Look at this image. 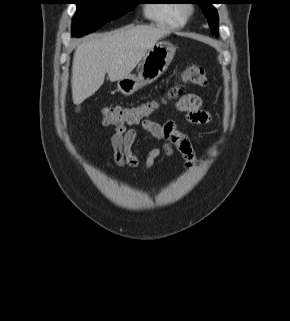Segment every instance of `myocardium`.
I'll return each instance as SVG.
<instances>
[{
	"label": "myocardium",
	"mask_w": 290,
	"mask_h": 321,
	"mask_svg": "<svg viewBox=\"0 0 290 321\" xmlns=\"http://www.w3.org/2000/svg\"><path fill=\"white\" fill-rule=\"evenodd\" d=\"M194 12V7L192 5H184L182 6V13L185 18L190 17Z\"/></svg>",
	"instance_id": "1"
}]
</instances>
